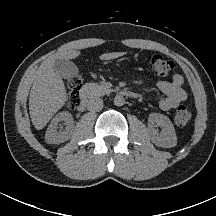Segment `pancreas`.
<instances>
[{
    "mask_svg": "<svg viewBox=\"0 0 216 216\" xmlns=\"http://www.w3.org/2000/svg\"><path fill=\"white\" fill-rule=\"evenodd\" d=\"M85 87L89 90L91 96H103L112 92L111 89H108L106 86L98 83H87Z\"/></svg>",
    "mask_w": 216,
    "mask_h": 216,
    "instance_id": "obj_1",
    "label": "pancreas"
}]
</instances>
